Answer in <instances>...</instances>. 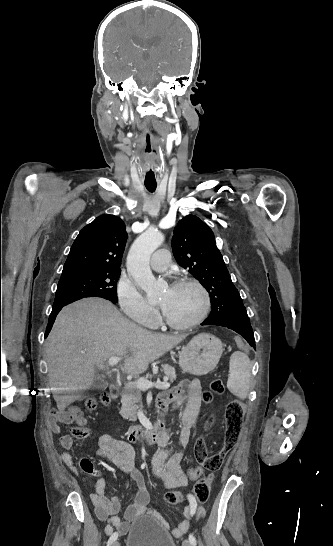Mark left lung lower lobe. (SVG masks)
Listing matches in <instances>:
<instances>
[{
	"instance_id": "1",
	"label": "left lung lower lobe",
	"mask_w": 333,
	"mask_h": 546,
	"mask_svg": "<svg viewBox=\"0 0 333 546\" xmlns=\"http://www.w3.org/2000/svg\"><path fill=\"white\" fill-rule=\"evenodd\" d=\"M220 325L232 329L242 335L246 341L255 348V338L250 324V319L246 313L236 315L230 321H222L218 319L208 318L203 322V325Z\"/></svg>"
}]
</instances>
